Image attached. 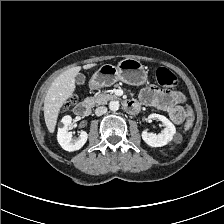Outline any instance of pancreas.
Instances as JSON below:
<instances>
[{"label":"pancreas","mask_w":224,"mask_h":224,"mask_svg":"<svg viewBox=\"0 0 224 224\" xmlns=\"http://www.w3.org/2000/svg\"><path fill=\"white\" fill-rule=\"evenodd\" d=\"M114 98L115 96L112 94L97 93L94 95L93 102L96 105H103L106 104L109 100H112Z\"/></svg>","instance_id":"obj_1"}]
</instances>
